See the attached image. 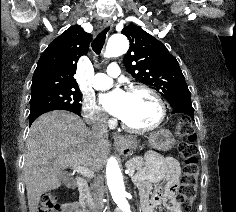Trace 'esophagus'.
I'll return each instance as SVG.
<instances>
[{
  "mask_svg": "<svg viewBox=\"0 0 236 212\" xmlns=\"http://www.w3.org/2000/svg\"><path fill=\"white\" fill-rule=\"evenodd\" d=\"M112 24H113V22H112L111 18H105L103 20V27L104 28L112 27ZM113 138L115 140V143H117V144L124 143V142L128 141V138H126V137H124L123 135H120V134H114Z\"/></svg>",
  "mask_w": 236,
  "mask_h": 212,
  "instance_id": "1",
  "label": "esophagus"
}]
</instances>
